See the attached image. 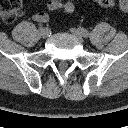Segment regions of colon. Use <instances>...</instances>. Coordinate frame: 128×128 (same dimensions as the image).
Segmentation results:
<instances>
[{
    "instance_id": "obj_1",
    "label": "colon",
    "mask_w": 128,
    "mask_h": 128,
    "mask_svg": "<svg viewBox=\"0 0 128 128\" xmlns=\"http://www.w3.org/2000/svg\"><path fill=\"white\" fill-rule=\"evenodd\" d=\"M100 6L110 8L115 5V0H95ZM120 8L128 13V0H119ZM22 0H0V15L6 22H12L21 13ZM74 0H68L64 4V11L71 14L75 11Z\"/></svg>"
}]
</instances>
